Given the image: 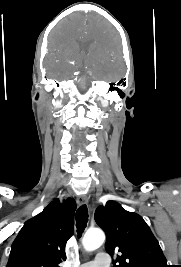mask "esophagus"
<instances>
[{
    "mask_svg": "<svg viewBox=\"0 0 181 267\" xmlns=\"http://www.w3.org/2000/svg\"><path fill=\"white\" fill-rule=\"evenodd\" d=\"M77 200H78V203L80 205H87L88 204V197L86 195L78 196Z\"/></svg>",
    "mask_w": 181,
    "mask_h": 267,
    "instance_id": "1",
    "label": "esophagus"
}]
</instances>
